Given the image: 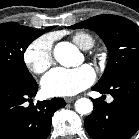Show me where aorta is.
<instances>
[{
    "mask_svg": "<svg viewBox=\"0 0 139 139\" xmlns=\"http://www.w3.org/2000/svg\"><path fill=\"white\" fill-rule=\"evenodd\" d=\"M77 56V48L69 42H60L55 46L54 57L62 66L77 65ZM75 110L81 115L90 114L93 110V103L88 98H80L75 102Z\"/></svg>",
    "mask_w": 139,
    "mask_h": 139,
    "instance_id": "762f6f07",
    "label": "aorta"
}]
</instances>
